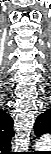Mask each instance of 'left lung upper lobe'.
Instances as JSON below:
<instances>
[{
    "label": "left lung upper lobe",
    "mask_w": 51,
    "mask_h": 154,
    "mask_svg": "<svg viewBox=\"0 0 51 154\" xmlns=\"http://www.w3.org/2000/svg\"><path fill=\"white\" fill-rule=\"evenodd\" d=\"M44 120H46L45 115H40L35 123V134L37 136L42 135L44 133V129H43V123Z\"/></svg>",
    "instance_id": "5c2ea615"
}]
</instances>
